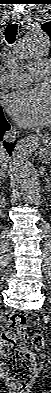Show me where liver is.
<instances>
[{
  "mask_svg": "<svg viewBox=\"0 0 51 393\" xmlns=\"http://www.w3.org/2000/svg\"><path fill=\"white\" fill-rule=\"evenodd\" d=\"M7 158H8V157H7L6 151L4 150L3 147H1V149H0V162H1V165H2L3 163H5L4 161H5Z\"/></svg>",
  "mask_w": 51,
  "mask_h": 393,
  "instance_id": "liver-1",
  "label": "liver"
}]
</instances>
